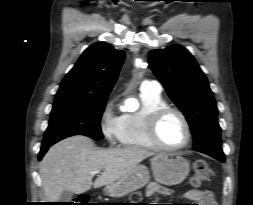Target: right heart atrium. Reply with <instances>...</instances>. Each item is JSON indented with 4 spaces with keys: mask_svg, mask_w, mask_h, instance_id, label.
<instances>
[{
    "mask_svg": "<svg viewBox=\"0 0 253 205\" xmlns=\"http://www.w3.org/2000/svg\"><path fill=\"white\" fill-rule=\"evenodd\" d=\"M99 126L102 135L109 144L119 141L121 133V117L115 112V101H108L101 114Z\"/></svg>",
    "mask_w": 253,
    "mask_h": 205,
    "instance_id": "right-heart-atrium-1",
    "label": "right heart atrium"
}]
</instances>
